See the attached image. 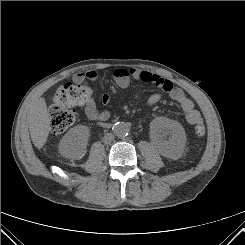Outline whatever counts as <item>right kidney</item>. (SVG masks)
Listing matches in <instances>:
<instances>
[{"mask_svg":"<svg viewBox=\"0 0 245 245\" xmlns=\"http://www.w3.org/2000/svg\"><path fill=\"white\" fill-rule=\"evenodd\" d=\"M89 136L90 130L85 125L71 128L60 141L59 152L67 158L81 159L86 152Z\"/></svg>","mask_w":245,"mask_h":245,"instance_id":"obj_1","label":"right kidney"}]
</instances>
